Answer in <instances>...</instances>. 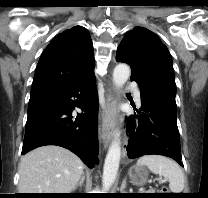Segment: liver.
<instances>
[{"mask_svg": "<svg viewBox=\"0 0 208 198\" xmlns=\"http://www.w3.org/2000/svg\"><path fill=\"white\" fill-rule=\"evenodd\" d=\"M83 162L74 153L46 145L22 157L19 165L20 193H70L83 173Z\"/></svg>", "mask_w": 208, "mask_h": 198, "instance_id": "obj_1", "label": "liver"}]
</instances>
